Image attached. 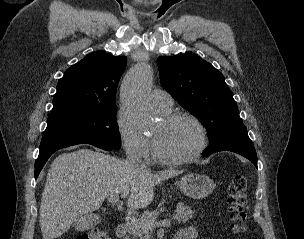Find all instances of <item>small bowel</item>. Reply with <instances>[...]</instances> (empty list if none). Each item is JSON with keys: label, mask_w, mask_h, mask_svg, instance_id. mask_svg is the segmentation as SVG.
I'll return each mask as SVG.
<instances>
[{"label": "small bowel", "mask_w": 304, "mask_h": 239, "mask_svg": "<svg viewBox=\"0 0 304 239\" xmlns=\"http://www.w3.org/2000/svg\"><path fill=\"white\" fill-rule=\"evenodd\" d=\"M179 236L182 237V239H196L197 232L194 228H185L182 231L178 233Z\"/></svg>", "instance_id": "1"}]
</instances>
